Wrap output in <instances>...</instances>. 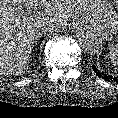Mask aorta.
<instances>
[{"mask_svg":"<svg viewBox=\"0 0 118 118\" xmlns=\"http://www.w3.org/2000/svg\"><path fill=\"white\" fill-rule=\"evenodd\" d=\"M77 38L82 49L89 54H98L101 52L102 45L100 40L92 33L80 31Z\"/></svg>","mask_w":118,"mask_h":118,"instance_id":"obj_1","label":"aorta"}]
</instances>
